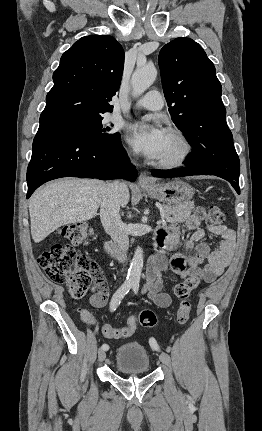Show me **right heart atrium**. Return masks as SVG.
<instances>
[{
  "instance_id": "right-heart-atrium-1",
  "label": "right heart atrium",
  "mask_w": 262,
  "mask_h": 431,
  "mask_svg": "<svg viewBox=\"0 0 262 431\" xmlns=\"http://www.w3.org/2000/svg\"><path fill=\"white\" fill-rule=\"evenodd\" d=\"M130 153H131V154H133V153H134V151H133V150H130Z\"/></svg>"
}]
</instances>
